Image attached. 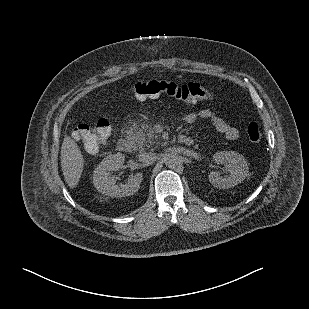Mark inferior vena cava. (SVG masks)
Here are the masks:
<instances>
[{"label": "inferior vena cava", "mask_w": 309, "mask_h": 309, "mask_svg": "<svg viewBox=\"0 0 309 309\" xmlns=\"http://www.w3.org/2000/svg\"><path fill=\"white\" fill-rule=\"evenodd\" d=\"M156 158V154L155 153H151V152H144L141 153L139 155V161L142 163H149L151 161H153Z\"/></svg>", "instance_id": "inferior-vena-cava-1"}]
</instances>
